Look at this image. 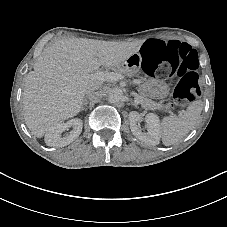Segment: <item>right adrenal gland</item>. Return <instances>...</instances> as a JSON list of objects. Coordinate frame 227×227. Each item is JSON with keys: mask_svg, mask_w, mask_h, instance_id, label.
<instances>
[{"mask_svg": "<svg viewBox=\"0 0 227 227\" xmlns=\"http://www.w3.org/2000/svg\"><path fill=\"white\" fill-rule=\"evenodd\" d=\"M86 100H87V98H85L84 105L86 104Z\"/></svg>", "mask_w": 227, "mask_h": 227, "instance_id": "right-adrenal-gland-1", "label": "right adrenal gland"}]
</instances>
